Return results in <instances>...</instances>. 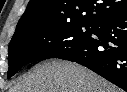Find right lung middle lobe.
<instances>
[{"label":"right lung middle lobe","instance_id":"1","mask_svg":"<svg viewBox=\"0 0 127 92\" xmlns=\"http://www.w3.org/2000/svg\"><path fill=\"white\" fill-rule=\"evenodd\" d=\"M92 31V24L72 23L61 26L36 27L11 39L7 78H11L28 63L54 58L71 50L87 40Z\"/></svg>","mask_w":127,"mask_h":92}]
</instances>
